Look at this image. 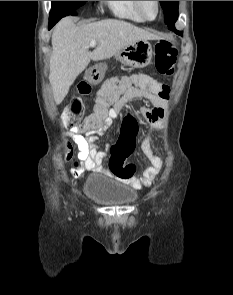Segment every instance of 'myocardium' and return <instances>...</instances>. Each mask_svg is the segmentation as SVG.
Wrapping results in <instances>:
<instances>
[{"label":"myocardium","mask_w":233,"mask_h":295,"mask_svg":"<svg viewBox=\"0 0 233 295\" xmlns=\"http://www.w3.org/2000/svg\"><path fill=\"white\" fill-rule=\"evenodd\" d=\"M134 2V6L136 11L138 12V14L144 19V21H154L160 13V1H155L156 7H157V12L155 17L153 18H148L147 16H145V14L143 13L142 7H141V1H133Z\"/></svg>","instance_id":"myocardium-1"}]
</instances>
